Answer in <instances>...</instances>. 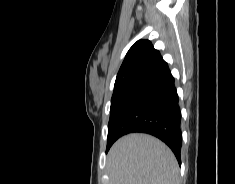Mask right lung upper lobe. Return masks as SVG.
Wrapping results in <instances>:
<instances>
[{
    "instance_id": "right-lung-upper-lobe-1",
    "label": "right lung upper lobe",
    "mask_w": 235,
    "mask_h": 184,
    "mask_svg": "<svg viewBox=\"0 0 235 184\" xmlns=\"http://www.w3.org/2000/svg\"><path fill=\"white\" fill-rule=\"evenodd\" d=\"M164 60L149 40L137 41L127 52L116 77L114 90L128 89Z\"/></svg>"
}]
</instances>
